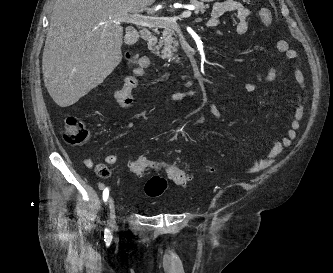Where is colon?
Returning <instances> with one entry per match:
<instances>
[{
  "mask_svg": "<svg viewBox=\"0 0 333 273\" xmlns=\"http://www.w3.org/2000/svg\"><path fill=\"white\" fill-rule=\"evenodd\" d=\"M259 20L264 27L270 26L272 23V12L267 8L261 9L259 11ZM127 58L137 66L148 64V58L145 56L127 54ZM62 137L69 145L81 146L89 141L90 132L80 119L70 115L65 119L62 129ZM156 168L157 163L145 157L137 158L129 164L130 172L137 177ZM96 170L103 178H107L110 175V170L105 165L99 164ZM210 170H212V168H210ZM166 174L167 177L177 185L184 186L190 180L189 174L185 170L175 166H168L166 168ZM166 187V179L162 176L154 175L146 182L145 193L150 197H157L165 191Z\"/></svg>",
  "mask_w": 333,
  "mask_h": 273,
  "instance_id": "colon-1",
  "label": "colon"
}]
</instances>
